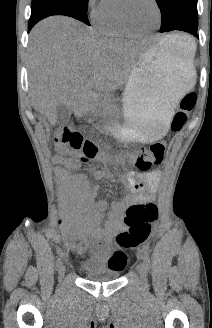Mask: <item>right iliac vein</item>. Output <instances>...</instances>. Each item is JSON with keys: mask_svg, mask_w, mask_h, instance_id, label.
<instances>
[{"mask_svg": "<svg viewBox=\"0 0 212 328\" xmlns=\"http://www.w3.org/2000/svg\"><path fill=\"white\" fill-rule=\"evenodd\" d=\"M65 272H66L65 266L62 265L59 269V279L60 280H62L64 278Z\"/></svg>", "mask_w": 212, "mask_h": 328, "instance_id": "right-iliac-vein-1", "label": "right iliac vein"}]
</instances>
